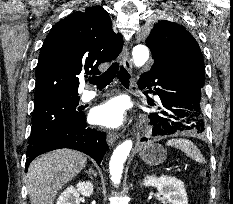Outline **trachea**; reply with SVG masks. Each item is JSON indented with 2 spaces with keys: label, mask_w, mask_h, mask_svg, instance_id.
I'll use <instances>...</instances> for the list:
<instances>
[{
  "label": "trachea",
  "mask_w": 233,
  "mask_h": 204,
  "mask_svg": "<svg viewBox=\"0 0 233 204\" xmlns=\"http://www.w3.org/2000/svg\"><path fill=\"white\" fill-rule=\"evenodd\" d=\"M116 75L125 87H129L130 75L123 66L119 67L118 62L112 63L103 74L91 77L89 82L95 84L98 89H103L113 81Z\"/></svg>",
  "instance_id": "1"
}]
</instances>
